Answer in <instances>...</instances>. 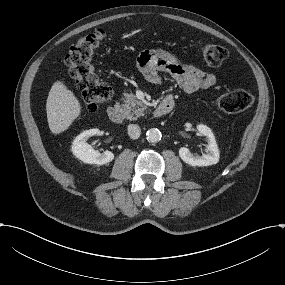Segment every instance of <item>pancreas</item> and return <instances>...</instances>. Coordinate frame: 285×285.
<instances>
[{"mask_svg": "<svg viewBox=\"0 0 285 285\" xmlns=\"http://www.w3.org/2000/svg\"><path fill=\"white\" fill-rule=\"evenodd\" d=\"M121 101H123L121 104L122 113L129 120L139 119L147 109L145 104L138 101L133 93H124Z\"/></svg>", "mask_w": 285, "mask_h": 285, "instance_id": "cf45deb5", "label": "pancreas"}]
</instances>
